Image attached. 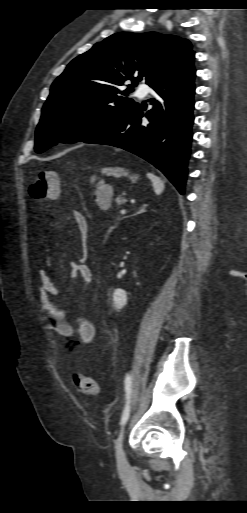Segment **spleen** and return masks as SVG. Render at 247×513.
I'll return each mask as SVG.
<instances>
[{
  "mask_svg": "<svg viewBox=\"0 0 247 513\" xmlns=\"http://www.w3.org/2000/svg\"><path fill=\"white\" fill-rule=\"evenodd\" d=\"M150 179L152 181V184H153V188H154V192L157 194V195H160L162 194V192L164 191V188H165V184L164 182L161 180V178L151 174L150 175Z\"/></svg>",
  "mask_w": 247,
  "mask_h": 513,
  "instance_id": "1",
  "label": "spleen"
}]
</instances>
